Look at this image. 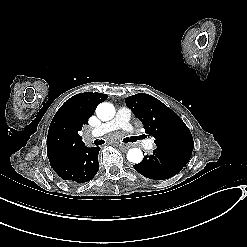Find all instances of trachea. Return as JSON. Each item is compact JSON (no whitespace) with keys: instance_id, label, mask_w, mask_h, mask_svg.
<instances>
[{"instance_id":"3493384b","label":"trachea","mask_w":247,"mask_h":247,"mask_svg":"<svg viewBox=\"0 0 247 247\" xmlns=\"http://www.w3.org/2000/svg\"><path fill=\"white\" fill-rule=\"evenodd\" d=\"M138 138H142L141 136L140 137H138ZM137 137H127V138H125V139H123V142H125V143H128V142H134V141H136V139H138ZM105 143V141L104 140H102V139H100V140H98V139H96L95 141H94V144L96 145V146H99V145H102V144H104Z\"/></svg>"}]
</instances>
